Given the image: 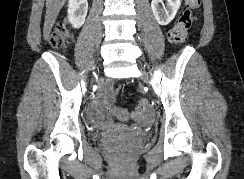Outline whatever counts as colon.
<instances>
[{
    "label": "colon",
    "mask_w": 244,
    "mask_h": 179,
    "mask_svg": "<svg viewBox=\"0 0 244 179\" xmlns=\"http://www.w3.org/2000/svg\"><path fill=\"white\" fill-rule=\"evenodd\" d=\"M188 4L184 13L180 16L177 23L169 32L171 41L176 45H182L186 42L190 29L195 25V12L199 8L197 0H186ZM71 29L64 24H58L51 36V44L54 48H65L70 42ZM109 109H116L114 115L119 119L120 123H129L128 108L122 107L121 104H109ZM150 102H146L145 98L138 102L136 109L131 112L132 120H140L142 110H149ZM109 116L113 115L112 111L108 112Z\"/></svg>",
    "instance_id": "colon-1"
}]
</instances>
